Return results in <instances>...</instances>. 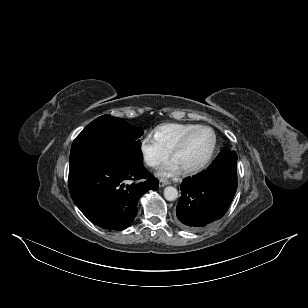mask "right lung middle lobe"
Returning <instances> with one entry per match:
<instances>
[{
  "label": "right lung middle lobe",
  "instance_id": "1",
  "mask_svg": "<svg viewBox=\"0 0 308 308\" xmlns=\"http://www.w3.org/2000/svg\"><path fill=\"white\" fill-rule=\"evenodd\" d=\"M141 128L124 119L103 115L89 123L73 141L69 165L108 161L142 164Z\"/></svg>",
  "mask_w": 308,
  "mask_h": 308
}]
</instances>
